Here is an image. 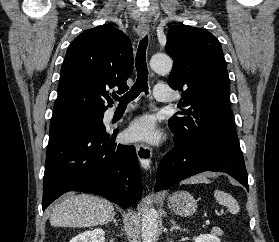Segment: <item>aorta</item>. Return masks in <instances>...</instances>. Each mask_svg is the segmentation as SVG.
Here are the masks:
<instances>
[{
	"label": "aorta",
	"instance_id": "obj_1",
	"mask_svg": "<svg viewBox=\"0 0 279 242\" xmlns=\"http://www.w3.org/2000/svg\"><path fill=\"white\" fill-rule=\"evenodd\" d=\"M150 66L158 74H167L171 71L173 62L165 54H155L150 60ZM158 212L152 206L148 207L142 219V239L143 242H154L158 229Z\"/></svg>",
	"mask_w": 279,
	"mask_h": 242
}]
</instances>
